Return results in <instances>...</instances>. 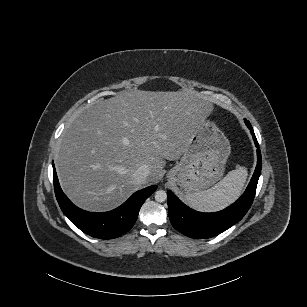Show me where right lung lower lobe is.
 I'll list each match as a JSON object with an SVG mask.
<instances>
[{"instance_id":"right-lung-lower-lobe-1","label":"right lung lower lobe","mask_w":307,"mask_h":307,"mask_svg":"<svg viewBox=\"0 0 307 307\" xmlns=\"http://www.w3.org/2000/svg\"><path fill=\"white\" fill-rule=\"evenodd\" d=\"M54 190L63 213L84 233L100 239H112L129 231L137 220L140 207L156 190L157 186H149L134 193L120 207L103 213H92L76 207L62 192L55 167Z\"/></svg>"}]
</instances>
